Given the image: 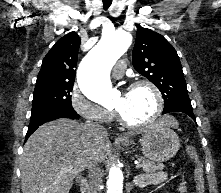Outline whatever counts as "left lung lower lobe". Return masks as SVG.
Listing matches in <instances>:
<instances>
[{"label":"left lung lower lobe","mask_w":221,"mask_h":193,"mask_svg":"<svg viewBox=\"0 0 221 193\" xmlns=\"http://www.w3.org/2000/svg\"><path fill=\"white\" fill-rule=\"evenodd\" d=\"M169 112H182L190 116L194 121H196L195 115L193 114L191 103H183V104H176L170 106L168 108H165L162 114Z\"/></svg>","instance_id":"obj_1"}]
</instances>
